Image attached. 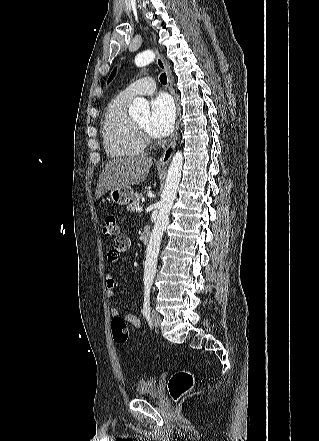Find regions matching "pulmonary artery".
<instances>
[{"mask_svg": "<svg viewBox=\"0 0 319 441\" xmlns=\"http://www.w3.org/2000/svg\"><path fill=\"white\" fill-rule=\"evenodd\" d=\"M156 90V83L151 77H144L134 81L120 92L122 97L131 99L138 95H150Z\"/></svg>", "mask_w": 319, "mask_h": 441, "instance_id": "pulmonary-artery-1", "label": "pulmonary artery"}]
</instances>
